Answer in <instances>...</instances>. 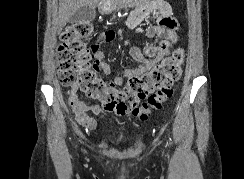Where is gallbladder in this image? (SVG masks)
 I'll return each mask as SVG.
<instances>
[{
    "instance_id": "bac80fb5",
    "label": "gallbladder",
    "mask_w": 244,
    "mask_h": 179,
    "mask_svg": "<svg viewBox=\"0 0 244 179\" xmlns=\"http://www.w3.org/2000/svg\"><path fill=\"white\" fill-rule=\"evenodd\" d=\"M96 16V12L94 8H90V6H82L79 10H76L74 16L70 18V24H84V22H92Z\"/></svg>"
}]
</instances>
